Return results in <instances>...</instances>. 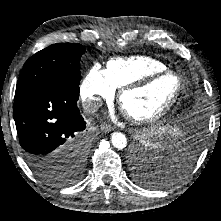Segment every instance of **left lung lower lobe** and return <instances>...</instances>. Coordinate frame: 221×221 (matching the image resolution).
<instances>
[{
    "label": "left lung lower lobe",
    "mask_w": 221,
    "mask_h": 221,
    "mask_svg": "<svg viewBox=\"0 0 221 221\" xmlns=\"http://www.w3.org/2000/svg\"><path fill=\"white\" fill-rule=\"evenodd\" d=\"M203 127L204 117L187 121L181 115L173 121L164 137L155 141L150 150L141 151L138 146L134 147L131 157L135 169L137 165L144 163L150 170L146 186L167 185L189 170L198 154Z\"/></svg>",
    "instance_id": "0a47b994"
}]
</instances>
